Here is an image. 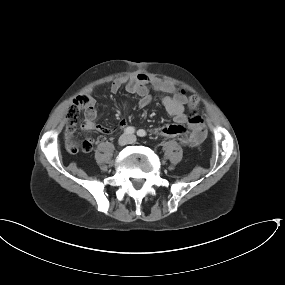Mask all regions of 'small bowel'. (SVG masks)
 <instances>
[{
    "mask_svg": "<svg viewBox=\"0 0 285 285\" xmlns=\"http://www.w3.org/2000/svg\"><path fill=\"white\" fill-rule=\"evenodd\" d=\"M125 85L128 93L139 97V106L144 108L151 104L152 97L149 93V86L152 85L156 89L169 88V84L162 82L160 78L152 74H137L129 79L114 80L109 89L112 94L120 91L121 87ZM84 94L90 96L91 101L94 102V88L88 87ZM187 102L184 93H177L172 97H163L162 104L165 110L174 118V124H165L156 127L153 134L159 137H180V143L183 146L195 148L199 146L206 138L207 130L204 125V120L200 114H185V103ZM96 111L91 109L88 111L86 120L83 123V128L88 131H95L99 133L113 132L118 129L127 128L126 120H120L117 125L108 129L105 126L96 123ZM75 131V123L70 121L65 130V147L71 154H78L80 152L88 153L92 150L94 139L87 138L80 143L72 139Z\"/></svg>",
    "mask_w": 285,
    "mask_h": 285,
    "instance_id": "c3829d8e",
    "label": "small bowel"
}]
</instances>
